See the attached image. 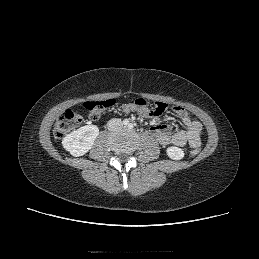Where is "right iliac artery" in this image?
I'll use <instances>...</instances> for the list:
<instances>
[{
	"label": "right iliac artery",
	"instance_id": "right-iliac-artery-1",
	"mask_svg": "<svg viewBox=\"0 0 259 259\" xmlns=\"http://www.w3.org/2000/svg\"><path fill=\"white\" fill-rule=\"evenodd\" d=\"M123 124H124L125 126H127V125L129 124V121H128L127 119H125V120L123 121Z\"/></svg>",
	"mask_w": 259,
	"mask_h": 259
}]
</instances>
